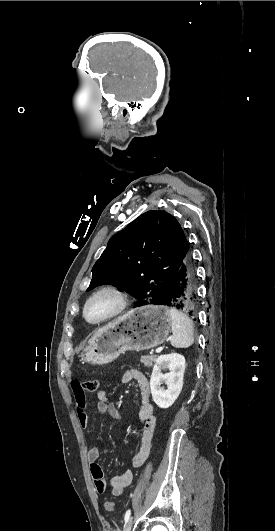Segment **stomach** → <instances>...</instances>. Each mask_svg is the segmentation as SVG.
I'll list each match as a JSON object with an SVG mask.
<instances>
[{"label": "stomach", "mask_w": 275, "mask_h": 531, "mask_svg": "<svg viewBox=\"0 0 275 531\" xmlns=\"http://www.w3.org/2000/svg\"><path fill=\"white\" fill-rule=\"evenodd\" d=\"M170 327L171 317L164 301H141L138 309L127 311L95 331L81 353L82 361L106 365L123 351L154 349L166 341Z\"/></svg>", "instance_id": "obj_1"}]
</instances>
